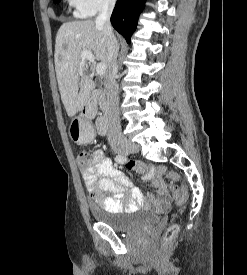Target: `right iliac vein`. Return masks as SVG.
Here are the masks:
<instances>
[{
  "label": "right iliac vein",
  "mask_w": 247,
  "mask_h": 275,
  "mask_svg": "<svg viewBox=\"0 0 247 275\" xmlns=\"http://www.w3.org/2000/svg\"><path fill=\"white\" fill-rule=\"evenodd\" d=\"M138 149L139 148L135 143L128 141V140L123 141L120 145L115 147V151L118 154H126L128 152H136V151H138Z\"/></svg>",
  "instance_id": "obj_1"
}]
</instances>
